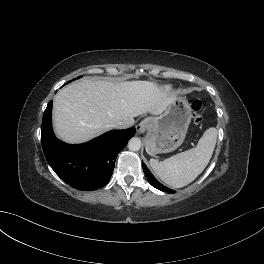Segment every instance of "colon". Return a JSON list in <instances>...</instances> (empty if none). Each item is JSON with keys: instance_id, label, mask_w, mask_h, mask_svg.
<instances>
[{"instance_id": "5ec220e1", "label": "colon", "mask_w": 264, "mask_h": 264, "mask_svg": "<svg viewBox=\"0 0 264 264\" xmlns=\"http://www.w3.org/2000/svg\"><path fill=\"white\" fill-rule=\"evenodd\" d=\"M191 108H192V111H193V121L195 123H199L201 121V116H202V113L205 109L203 103L196 99V100H193L191 102Z\"/></svg>"}]
</instances>
